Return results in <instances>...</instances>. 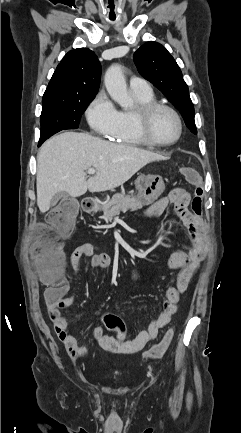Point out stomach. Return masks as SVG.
Masks as SVG:
<instances>
[{
  "instance_id": "stomach-1",
  "label": "stomach",
  "mask_w": 241,
  "mask_h": 433,
  "mask_svg": "<svg viewBox=\"0 0 241 433\" xmlns=\"http://www.w3.org/2000/svg\"><path fill=\"white\" fill-rule=\"evenodd\" d=\"M138 199L150 204L157 200L165 190V183L160 175H140L136 182Z\"/></svg>"
}]
</instances>
